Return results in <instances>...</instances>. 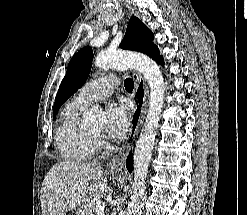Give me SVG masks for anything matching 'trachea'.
<instances>
[{
	"label": "trachea",
	"mask_w": 247,
	"mask_h": 215,
	"mask_svg": "<svg viewBox=\"0 0 247 215\" xmlns=\"http://www.w3.org/2000/svg\"><path fill=\"white\" fill-rule=\"evenodd\" d=\"M124 86L127 91H132L134 88V82L131 78H126L124 81Z\"/></svg>",
	"instance_id": "obj_1"
}]
</instances>
